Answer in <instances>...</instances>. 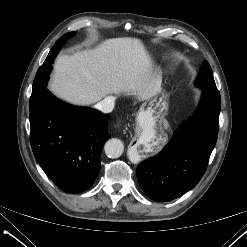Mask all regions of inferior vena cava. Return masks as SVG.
Returning <instances> with one entry per match:
<instances>
[{
    "mask_svg": "<svg viewBox=\"0 0 247 247\" xmlns=\"http://www.w3.org/2000/svg\"><path fill=\"white\" fill-rule=\"evenodd\" d=\"M115 99L112 96L105 97L95 105V108L103 113H110L114 109Z\"/></svg>",
    "mask_w": 247,
    "mask_h": 247,
    "instance_id": "602c4592",
    "label": "inferior vena cava"
}]
</instances>
